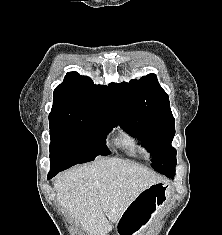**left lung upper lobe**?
Returning <instances> with one entry per match:
<instances>
[{
    "label": "left lung upper lobe",
    "mask_w": 222,
    "mask_h": 235,
    "mask_svg": "<svg viewBox=\"0 0 222 235\" xmlns=\"http://www.w3.org/2000/svg\"><path fill=\"white\" fill-rule=\"evenodd\" d=\"M117 122L152 151L151 166L157 172L174 178L176 150L171 146L175 120L169 96L159 85L155 74L129 83L110 84Z\"/></svg>",
    "instance_id": "5c2ea615"
}]
</instances>
